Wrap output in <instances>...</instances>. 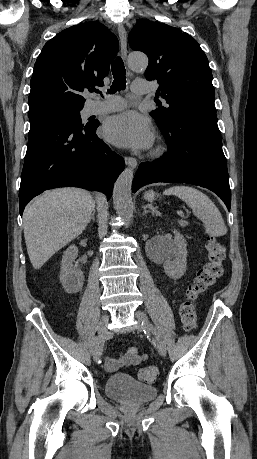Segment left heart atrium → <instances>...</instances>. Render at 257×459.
<instances>
[{
    "instance_id": "left-heart-atrium-1",
    "label": "left heart atrium",
    "mask_w": 257,
    "mask_h": 459,
    "mask_svg": "<svg viewBox=\"0 0 257 459\" xmlns=\"http://www.w3.org/2000/svg\"><path fill=\"white\" fill-rule=\"evenodd\" d=\"M104 134L109 142L131 149H147L154 140L150 121L134 111L109 118L104 126Z\"/></svg>"
}]
</instances>
